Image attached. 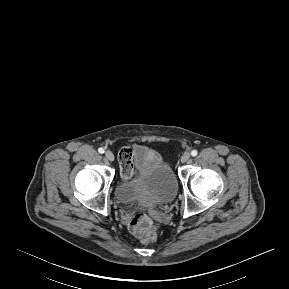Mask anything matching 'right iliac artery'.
Wrapping results in <instances>:
<instances>
[{
	"instance_id": "obj_1",
	"label": "right iliac artery",
	"mask_w": 289,
	"mask_h": 289,
	"mask_svg": "<svg viewBox=\"0 0 289 289\" xmlns=\"http://www.w3.org/2000/svg\"><path fill=\"white\" fill-rule=\"evenodd\" d=\"M98 152H99L100 154H103V153L105 152V150H104L103 148H99V149H98Z\"/></svg>"
}]
</instances>
